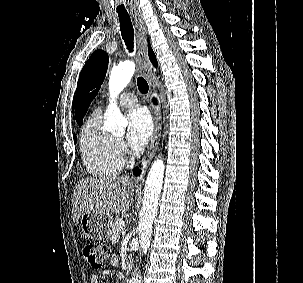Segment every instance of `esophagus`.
<instances>
[{
	"mask_svg": "<svg viewBox=\"0 0 303 283\" xmlns=\"http://www.w3.org/2000/svg\"><path fill=\"white\" fill-rule=\"evenodd\" d=\"M135 26L137 29V54L140 61V69L141 73L144 75V77L149 82L150 86V95H153L155 93V86L152 83V71L150 67V62L148 58V49H147V29L143 22V20L140 17H135ZM152 113H153V120H154V131L153 135L150 141V145L148 147V150L146 152V155L143 158L142 164V171L145 172L148 164L150 163L151 158L154 156L159 140H160V134H161V118L158 113L157 108H155L153 105L151 106ZM138 182H143V178H138Z\"/></svg>",
	"mask_w": 303,
	"mask_h": 283,
	"instance_id": "esophagus-1",
	"label": "esophagus"
}]
</instances>
